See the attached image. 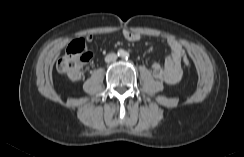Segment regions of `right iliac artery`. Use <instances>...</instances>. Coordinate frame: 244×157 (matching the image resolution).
<instances>
[{
    "label": "right iliac artery",
    "instance_id": "82829eb1",
    "mask_svg": "<svg viewBox=\"0 0 244 157\" xmlns=\"http://www.w3.org/2000/svg\"><path fill=\"white\" fill-rule=\"evenodd\" d=\"M117 54H118V56H123L124 52H123V50H119Z\"/></svg>",
    "mask_w": 244,
    "mask_h": 157
}]
</instances>
